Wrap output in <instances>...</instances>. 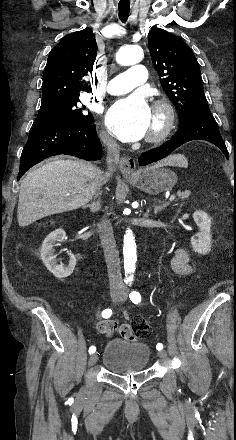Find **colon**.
I'll list each match as a JSON object with an SVG mask.
<instances>
[{"instance_id":"5ec220e1","label":"colon","mask_w":236,"mask_h":440,"mask_svg":"<svg viewBox=\"0 0 236 440\" xmlns=\"http://www.w3.org/2000/svg\"><path fill=\"white\" fill-rule=\"evenodd\" d=\"M135 337L133 339H145L150 335V326L143 316H135L132 320Z\"/></svg>"}]
</instances>
